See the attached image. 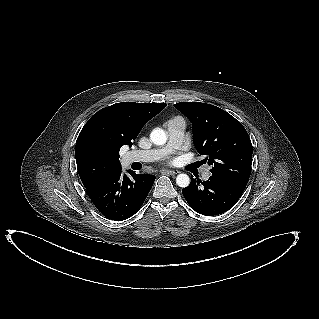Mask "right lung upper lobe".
<instances>
[{
  "label": "right lung upper lobe",
  "instance_id": "1",
  "mask_svg": "<svg viewBox=\"0 0 319 319\" xmlns=\"http://www.w3.org/2000/svg\"><path fill=\"white\" fill-rule=\"evenodd\" d=\"M165 103H117L95 113L82 128L75 146L77 169L85 188L121 170L119 151L131 147L142 127Z\"/></svg>",
  "mask_w": 319,
  "mask_h": 319
}]
</instances>
